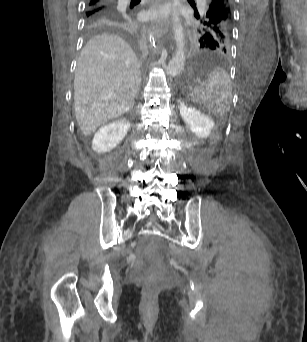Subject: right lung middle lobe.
Listing matches in <instances>:
<instances>
[{
  "label": "right lung middle lobe",
  "instance_id": "right-lung-middle-lobe-1",
  "mask_svg": "<svg viewBox=\"0 0 307 342\" xmlns=\"http://www.w3.org/2000/svg\"><path fill=\"white\" fill-rule=\"evenodd\" d=\"M89 12H90L89 10H86L85 15L88 14Z\"/></svg>",
  "mask_w": 307,
  "mask_h": 342
}]
</instances>
